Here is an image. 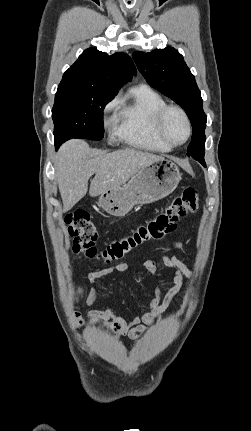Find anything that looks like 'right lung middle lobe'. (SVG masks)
Returning a JSON list of instances; mask_svg holds the SVG:
<instances>
[{
  "mask_svg": "<svg viewBox=\"0 0 251 431\" xmlns=\"http://www.w3.org/2000/svg\"><path fill=\"white\" fill-rule=\"evenodd\" d=\"M115 95L72 85H59L52 109L55 143L71 138L101 140L103 109Z\"/></svg>",
  "mask_w": 251,
  "mask_h": 431,
  "instance_id": "obj_1",
  "label": "right lung middle lobe"
}]
</instances>
